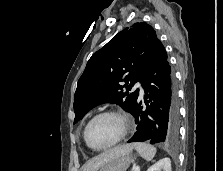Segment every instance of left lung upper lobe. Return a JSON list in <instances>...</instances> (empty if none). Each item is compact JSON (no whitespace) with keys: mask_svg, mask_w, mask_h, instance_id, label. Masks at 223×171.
Masks as SVG:
<instances>
[{"mask_svg":"<svg viewBox=\"0 0 223 171\" xmlns=\"http://www.w3.org/2000/svg\"><path fill=\"white\" fill-rule=\"evenodd\" d=\"M158 42L151 25L135 23L94 53L78 80L74 96V124L102 103H116L132 113L139 89L132 93L129 91L136 82L142 81ZM121 81L126 84L120 85Z\"/></svg>","mask_w":223,"mask_h":171,"instance_id":"obj_1","label":"left lung upper lobe"}]
</instances>
